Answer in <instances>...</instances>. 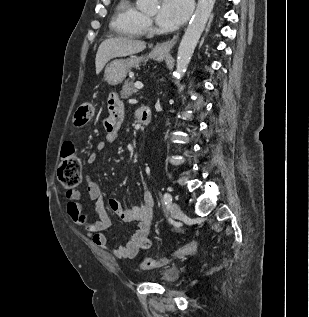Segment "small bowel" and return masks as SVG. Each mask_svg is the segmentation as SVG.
<instances>
[{
    "mask_svg": "<svg viewBox=\"0 0 309 317\" xmlns=\"http://www.w3.org/2000/svg\"><path fill=\"white\" fill-rule=\"evenodd\" d=\"M109 115L104 121L106 132L105 140L96 145V151L92 152L87 162L94 164L98 154L103 152L106 144L117 141L119 129L124 117V106L117 95L112 94L108 100ZM85 196L89 201L96 203L97 220H90L83 211L82 195L79 191L69 190L66 192V211L70 219L93 241V243L111 253L116 258H133L136 256L141 243L149 233L152 222L154 197L149 191L142 194L143 204L141 206H125L117 199L108 201V208L115 213L119 220L124 223H136L137 230L131 239L124 245H108L107 230L111 226V219L108 210L103 205L102 191L100 186L87 177Z\"/></svg>",
    "mask_w": 309,
    "mask_h": 317,
    "instance_id": "1",
    "label": "small bowel"
}]
</instances>
